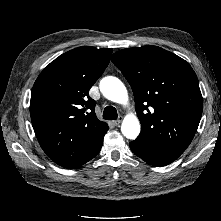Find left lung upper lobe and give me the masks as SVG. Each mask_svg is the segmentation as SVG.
<instances>
[{
	"label": "left lung upper lobe",
	"mask_w": 221,
	"mask_h": 221,
	"mask_svg": "<svg viewBox=\"0 0 221 221\" xmlns=\"http://www.w3.org/2000/svg\"><path fill=\"white\" fill-rule=\"evenodd\" d=\"M134 93L142 129L135 142L184 152L203 109L198 79L182 58L157 46L112 55Z\"/></svg>",
	"instance_id": "obj_1"
}]
</instances>
